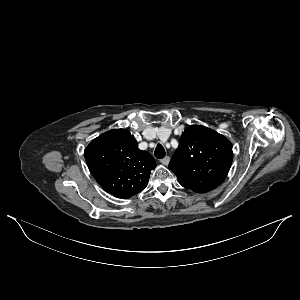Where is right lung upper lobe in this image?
<instances>
[{
	"label": "right lung upper lobe",
	"mask_w": 300,
	"mask_h": 300,
	"mask_svg": "<svg viewBox=\"0 0 300 300\" xmlns=\"http://www.w3.org/2000/svg\"><path fill=\"white\" fill-rule=\"evenodd\" d=\"M125 129H113L91 141L84 151L88 168L99 185L111 195L128 198L148 184L156 167L152 155L141 151Z\"/></svg>",
	"instance_id": "1"
}]
</instances>
